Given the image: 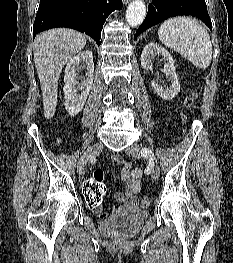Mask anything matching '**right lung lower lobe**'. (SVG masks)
Instances as JSON below:
<instances>
[{
    "label": "right lung lower lobe",
    "instance_id": "98d812e1",
    "mask_svg": "<svg viewBox=\"0 0 233 263\" xmlns=\"http://www.w3.org/2000/svg\"><path fill=\"white\" fill-rule=\"evenodd\" d=\"M121 8L122 0H40L33 38L44 30L67 27L91 36L100 45L106 18Z\"/></svg>",
    "mask_w": 233,
    "mask_h": 263
}]
</instances>
